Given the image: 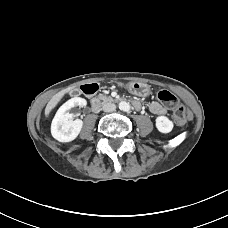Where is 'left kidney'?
Wrapping results in <instances>:
<instances>
[{
	"label": "left kidney",
	"instance_id": "5707ae66",
	"mask_svg": "<svg viewBox=\"0 0 228 228\" xmlns=\"http://www.w3.org/2000/svg\"><path fill=\"white\" fill-rule=\"evenodd\" d=\"M174 127L173 122L166 116H159L156 118V128L161 133H169Z\"/></svg>",
	"mask_w": 228,
	"mask_h": 228
}]
</instances>
